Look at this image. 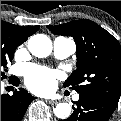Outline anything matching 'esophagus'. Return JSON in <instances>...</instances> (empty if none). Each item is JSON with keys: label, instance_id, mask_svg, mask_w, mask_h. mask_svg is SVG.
I'll return each instance as SVG.
<instances>
[{"label": "esophagus", "instance_id": "1", "mask_svg": "<svg viewBox=\"0 0 121 121\" xmlns=\"http://www.w3.org/2000/svg\"><path fill=\"white\" fill-rule=\"evenodd\" d=\"M48 102H49L50 104H56V103H57L56 100H48Z\"/></svg>", "mask_w": 121, "mask_h": 121}]
</instances>
